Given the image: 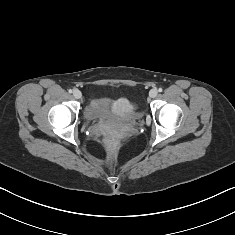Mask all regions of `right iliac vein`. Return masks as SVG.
Masks as SVG:
<instances>
[{
  "mask_svg": "<svg viewBox=\"0 0 235 235\" xmlns=\"http://www.w3.org/2000/svg\"><path fill=\"white\" fill-rule=\"evenodd\" d=\"M73 96H74L76 99H80V98L82 97V93H81L80 90L75 89V90L73 91Z\"/></svg>",
  "mask_w": 235,
  "mask_h": 235,
  "instance_id": "1",
  "label": "right iliac vein"
}]
</instances>
